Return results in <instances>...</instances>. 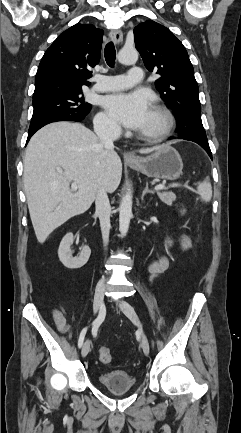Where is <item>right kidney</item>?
I'll use <instances>...</instances> for the list:
<instances>
[{
    "instance_id": "ca27d5eb",
    "label": "right kidney",
    "mask_w": 241,
    "mask_h": 433,
    "mask_svg": "<svg viewBox=\"0 0 241 433\" xmlns=\"http://www.w3.org/2000/svg\"><path fill=\"white\" fill-rule=\"evenodd\" d=\"M75 237L72 233H67L59 246L58 256L62 264L68 269H78L84 266L89 260L91 250L89 246H83L78 257H73L71 252V245Z\"/></svg>"
}]
</instances>
